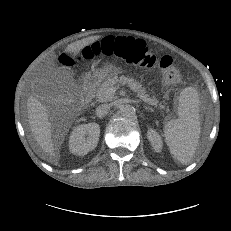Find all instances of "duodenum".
<instances>
[{
    "label": "duodenum",
    "mask_w": 231,
    "mask_h": 231,
    "mask_svg": "<svg viewBox=\"0 0 231 231\" xmlns=\"http://www.w3.org/2000/svg\"><path fill=\"white\" fill-rule=\"evenodd\" d=\"M98 78L96 76H89L84 83V91L81 97V103L86 106L90 103Z\"/></svg>",
    "instance_id": "obj_1"
}]
</instances>
